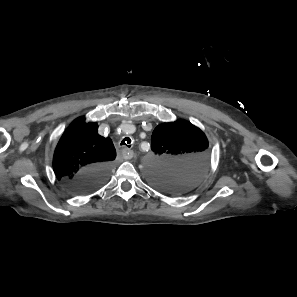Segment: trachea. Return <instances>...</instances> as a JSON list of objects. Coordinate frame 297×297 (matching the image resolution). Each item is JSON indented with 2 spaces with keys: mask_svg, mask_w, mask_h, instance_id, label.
I'll list each match as a JSON object with an SVG mask.
<instances>
[{
  "mask_svg": "<svg viewBox=\"0 0 297 297\" xmlns=\"http://www.w3.org/2000/svg\"><path fill=\"white\" fill-rule=\"evenodd\" d=\"M120 145H123V146H127V147H131V139L128 137V138H124L122 141H121V144Z\"/></svg>",
  "mask_w": 297,
  "mask_h": 297,
  "instance_id": "3493384b",
  "label": "trachea"
}]
</instances>
